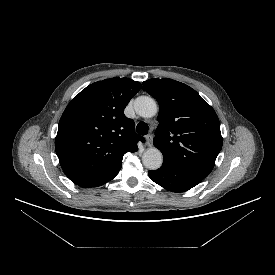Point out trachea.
Segmentation results:
<instances>
[{
	"mask_svg": "<svg viewBox=\"0 0 275 275\" xmlns=\"http://www.w3.org/2000/svg\"><path fill=\"white\" fill-rule=\"evenodd\" d=\"M149 127L148 125L141 121L136 126V132L140 135H146L148 133Z\"/></svg>",
	"mask_w": 275,
	"mask_h": 275,
	"instance_id": "1",
	"label": "trachea"
}]
</instances>
